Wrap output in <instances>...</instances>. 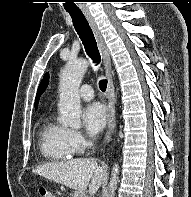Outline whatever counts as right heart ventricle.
Listing matches in <instances>:
<instances>
[{"label":"right heart ventricle","instance_id":"e07e8e85","mask_svg":"<svg viewBox=\"0 0 191 197\" xmlns=\"http://www.w3.org/2000/svg\"><path fill=\"white\" fill-rule=\"evenodd\" d=\"M67 129L55 123L51 115H46L39 130V149L41 154L49 160H68L73 152L66 141Z\"/></svg>","mask_w":191,"mask_h":197}]
</instances>
